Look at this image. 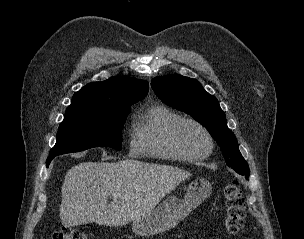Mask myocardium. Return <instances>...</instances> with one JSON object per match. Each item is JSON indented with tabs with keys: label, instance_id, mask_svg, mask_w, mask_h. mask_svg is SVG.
Returning a JSON list of instances; mask_svg holds the SVG:
<instances>
[{
	"label": "myocardium",
	"instance_id": "myocardium-1",
	"mask_svg": "<svg viewBox=\"0 0 304 239\" xmlns=\"http://www.w3.org/2000/svg\"><path fill=\"white\" fill-rule=\"evenodd\" d=\"M194 125L204 132L208 139V149L202 153H193L189 151L182 143L180 138L181 130L186 125ZM170 141L173 147L187 160H201L208 157L214 149V138L210 130L200 121L193 118H181L178 120L170 130Z\"/></svg>",
	"mask_w": 304,
	"mask_h": 239
}]
</instances>
